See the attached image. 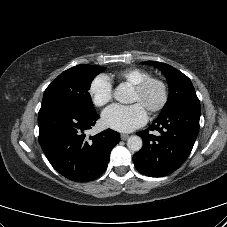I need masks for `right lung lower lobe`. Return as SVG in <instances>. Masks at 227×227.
Returning <instances> with one entry per match:
<instances>
[{
    "label": "right lung lower lobe",
    "instance_id": "1",
    "mask_svg": "<svg viewBox=\"0 0 227 227\" xmlns=\"http://www.w3.org/2000/svg\"><path fill=\"white\" fill-rule=\"evenodd\" d=\"M64 104L41 108L38 114L39 143L53 168L76 182H88L107 168L112 148L120 141L111 129L87 138L85 132L99 119Z\"/></svg>",
    "mask_w": 227,
    "mask_h": 227
}]
</instances>
